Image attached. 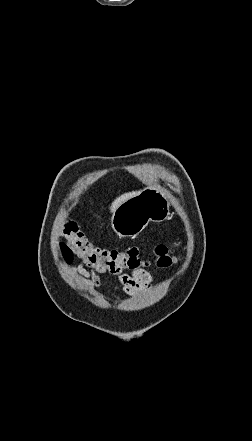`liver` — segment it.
Listing matches in <instances>:
<instances>
[{
    "label": "liver",
    "mask_w": 252,
    "mask_h": 441,
    "mask_svg": "<svg viewBox=\"0 0 252 441\" xmlns=\"http://www.w3.org/2000/svg\"><path fill=\"white\" fill-rule=\"evenodd\" d=\"M135 194H137V192H129V193H125L121 196H119L118 198H116L114 200V202H112L111 206H110V211L114 212L115 209L122 204L124 201H126L127 199L131 198L132 196H134Z\"/></svg>",
    "instance_id": "6515ba94"
}]
</instances>
